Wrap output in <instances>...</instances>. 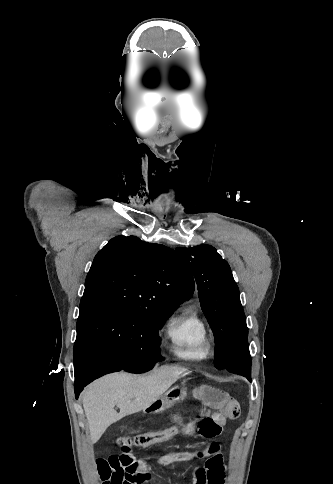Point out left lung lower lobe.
Wrapping results in <instances>:
<instances>
[{
  "mask_svg": "<svg viewBox=\"0 0 333 484\" xmlns=\"http://www.w3.org/2000/svg\"><path fill=\"white\" fill-rule=\"evenodd\" d=\"M231 366H242L244 368H251V358L248 347V340H242L231 354ZM246 378L251 380V376L247 375Z\"/></svg>",
  "mask_w": 333,
  "mask_h": 484,
  "instance_id": "left-lung-lower-lobe-1",
  "label": "left lung lower lobe"
}]
</instances>
